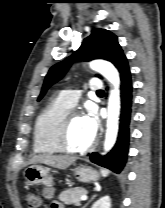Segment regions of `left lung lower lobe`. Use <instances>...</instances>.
Segmentation results:
<instances>
[{
  "mask_svg": "<svg viewBox=\"0 0 165 208\" xmlns=\"http://www.w3.org/2000/svg\"><path fill=\"white\" fill-rule=\"evenodd\" d=\"M116 67L119 70L121 79V115L117 142L108 154L100 156L97 153H92L90 160L120 174L123 172L127 162L133 104L131 75L126 57Z\"/></svg>",
  "mask_w": 165,
  "mask_h": 208,
  "instance_id": "left-lung-lower-lobe-1",
  "label": "left lung lower lobe"
}]
</instances>
